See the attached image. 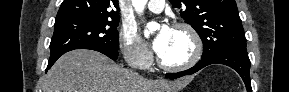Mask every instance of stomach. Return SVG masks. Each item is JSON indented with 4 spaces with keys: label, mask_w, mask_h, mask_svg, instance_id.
Segmentation results:
<instances>
[{
    "label": "stomach",
    "mask_w": 289,
    "mask_h": 92,
    "mask_svg": "<svg viewBox=\"0 0 289 92\" xmlns=\"http://www.w3.org/2000/svg\"><path fill=\"white\" fill-rule=\"evenodd\" d=\"M166 92H176V91H166Z\"/></svg>",
    "instance_id": "1"
}]
</instances>
